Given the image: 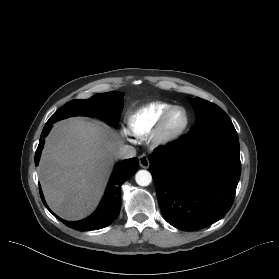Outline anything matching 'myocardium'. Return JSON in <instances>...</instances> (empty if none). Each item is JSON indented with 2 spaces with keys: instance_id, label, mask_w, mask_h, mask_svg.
<instances>
[{
  "instance_id": "myocardium-1",
  "label": "myocardium",
  "mask_w": 279,
  "mask_h": 279,
  "mask_svg": "<svg viewBox=\"0 0 279 279\" xmlns=\"http://www.w3.org/2000/svg\"><path fill=\"white\" fill-rule=\"evenodd\" d=\"M176 110H181L184 113V123L182 127L175 133H168L166 129L167 120L170 115ZM189 126L190 116L188 111L182 106H171L161 115L159 121L152 130V140L155 144L162 146L173 144L179 141L186 134Z\"/></svg>"
}]
</instances>
